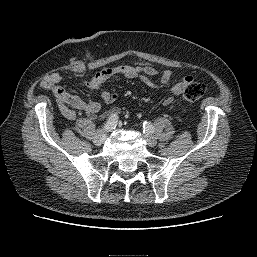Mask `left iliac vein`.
Segmentation results:
<instances>
[{
  "instance_id": "obj_1",
  "label": "left iliac vein",
  "mask_w": 257,
  "mask_h": 257,
  "mask_svg": "<svg viewBox=\"0 0 257 257\" xmlns=\"http://www.w3.org/2000/svg\"><path fill=\"white\" fill-rule=\"evenodd\" d=\"M143 137H144L147 145H149L150 147H153V146L156 145V143H157L156 138L152 134H150L149 132L144 133Z\"/></svg>"
}]
</instances>
